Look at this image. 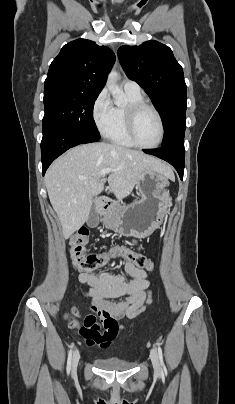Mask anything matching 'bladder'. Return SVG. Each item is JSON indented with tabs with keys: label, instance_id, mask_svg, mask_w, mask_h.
I'll use <instances>...</instances> for the list:
<instances>
[{
	"label": "bladder",
	"instance_id": "31cf9c89",
	"mask_svg": "<svg viewBox=\"0 0 235 404\" xmlns=\"http://www.w3.org/2000/svg\"><path fill=\"white\" fill-rule=\"evenodd\" d=\"M94 363L107 370L126 371L133 367L134 363L120 361L111 357L95 359Z\"/></svg>",
	"mask_w": 235,
	"mask_h": 404
}]
</instances>
